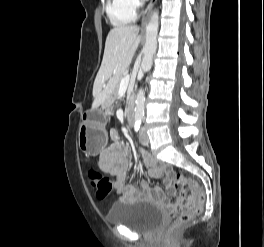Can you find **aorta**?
<instances>
[{"mask_svg": "<svg viewBox=\"0 0 264 247\" xmlns=\"http://www.w3.org/2000/svg\"><path fill=\"white\" fill-rule=\"evenodd\" d=\"M159 26V12L154 11L146 25V41L143 49L144 56L141 63L143 72H148L153 64V56L157 49V35ZM135 121H141L144 116L145 94L144 90L139 89L135 101Z\"/></svg>", "mask_w": 264, "mask_h": 247, "instance_id": "aorta-1", "label": "aorta"}]
</instances>
